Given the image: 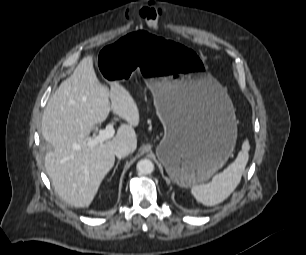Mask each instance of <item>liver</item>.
Here are the masks:
<instances>
[{"mask_svg": "<svg viewBox=\"0 0 306 255\" xmlns=\"http://www.w3.org/2000/svg\"><path fill=\"white\" fill-rule=\"evenodd\" d=\"M109 84L110 89L98 80L93 57L87 56L60 84L42 116V136L53 147L45 156L46 172L60 198L75 207L92 203L114 165L116 146L126 143L133 151L137 147L138 106L119 81ZM110 111L128 124H122L112 139L89 147L87 137Z\"/></svg>", "mask_w": 306, "mask_h": 255, "instance_id": "6515ba94", "label": "liver"}]
</instances>
